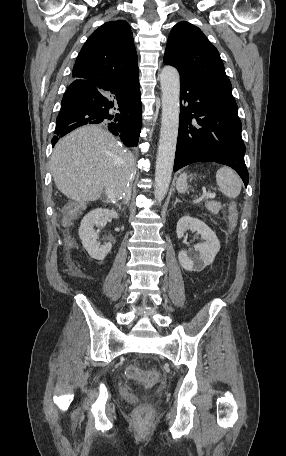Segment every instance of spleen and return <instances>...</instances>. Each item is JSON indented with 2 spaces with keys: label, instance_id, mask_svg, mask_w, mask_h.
<instances>
[{
  "label": "spleen",
  "instance_id": "spleen-1",
  "mask_svg": "<svg viewBox=\"0 0 286 456\" xmlns=\"http://www.w3.org/2000/svg\"><path fill=\"white\" fill-rule=\"evenodd\" d=\"M216 182L219 190L229 198H236L241 191V179L235 171L229 167H222L216 173ZM179 193L187 192V174L182 173L176 184Z\"/></svg>",
  "mask_w": 286,
  "mask_h": 456
}]
</instances>
